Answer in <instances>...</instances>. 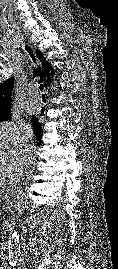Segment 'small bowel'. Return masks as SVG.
Returning a JSON list of instances; mask_svg holds the SVG:
<instances>
[{"instance_id": "c3829d8e", "label": "small bowel", "mask_w": 118, "mask_h": 269, "mask_svg": "<svg viewBox=\"0 0 118 269\" xmlns=\"http://www.w3.org/2000/svg\"><path fill=\"white\" fill-rule=\"evenodd\" d=\"M0 261H1V259H0ZM0 269H7V266L5 264H1Z\"/></svg>"}]
</instances>
